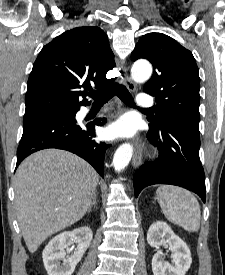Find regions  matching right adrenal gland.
<instances>
[{
	"mask_svg": "<svg viewBox=\"0 0 225 275\" xmlns=\"http://www.w3.org/2000/svg\"><path fill=\"white\" fill-rule=\"evenodd\" d=\"M96 204H97V190H96L95 193H94V196H93V198H92L91 205H90V207H89V209H88V212H90L91 208H92L93 206H95Z\"/></svg>",
	"mask_w": 225,
	"mask_h": 275,
	"instance_id": "obj_1",
	"label": "right adrenal gland"
}]
</instances>
